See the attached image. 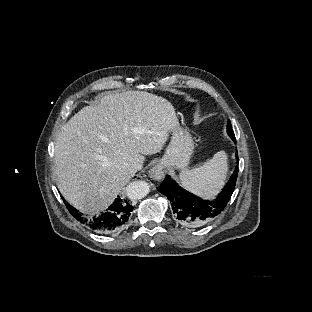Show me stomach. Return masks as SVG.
<instances>
[{"label": "stomach", "mask_w": 312, "mask_h": 312, "mask_svg": "<svg viewBox=\"0 0 312 312\" xmlns=\"http://www.w3.org/2000/svg\"><path fill=\"white\" fill-rule=\"evenodd\" d=\"M170 131L171 141L159 165L167 171L184 170L194 153L195 142L188 130L179 125Z\"/></svg>", "instance_id": "0dacf381"}]
</instances>
